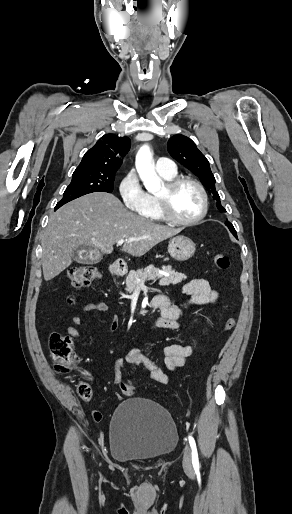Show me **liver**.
Wrapping results in <instances>:
<instances>
[{
  "mask_svg": "<svg viewBox=\"0 0 292 514\" xmlns=\"http://www.w3.org/2000/svg\"><path fill=\"white\" fill-rule=\"evenodd\" d=\"M182 228H169L136 216L118 198L106 192H93L69 202L49 216L42 240L44 280H52L72 264L78 246L97 248L112 254L119 240H127L124 252L144 256L153 246L172 238Z\"/></svg>",
  "mask_w": 292,
  "mask_h": 514,
  "instance_id": "1",
  "label": "liver"
}]
</instances>
